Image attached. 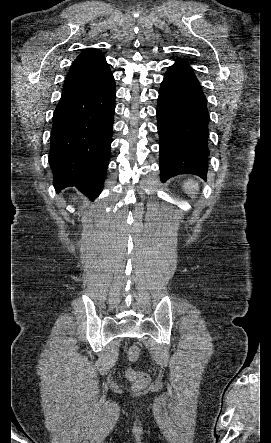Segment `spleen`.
<instances>
[{"label":"spleen","mask_w":271,"mask_h":443,"mask_svg":"<svg viewBox=\"0 0 271 443\" xmlns=\"http://www.w3.org/2000/svg\"><path fill=\"white\" fill-rule=\"evenodd\" d=\"M182 188H184L185 192H188L191 198H193V192H195V190H198V184H196V182H193V180H189V182H185Z\"/></svg>","instance_id":"obj_1"}]
</instances>
